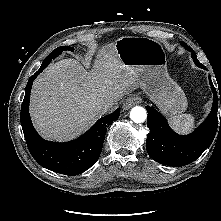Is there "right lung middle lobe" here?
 <instances>
[{
    "mask_svg": "<svg viewBox=\"0 0 221 221\" xmlns=\"http://www.w3.org/2000/svg\"><path fill=\"white\" fill-rule=\"evenodd\" d=\"M66 50H70V51H73L74 49L72 47H67V46H61V47H58L56 48L54 51H52L46 58L43 62H46V61H51L53 58H55L57 55L61 54L62 51H66Z\"/></svg>",
    "mask_w": 221,
    "mask_h": 221,
    "instance_id": "dd1d6c3e",
    "label": "right lung middle lobe"
}]
</instances>
